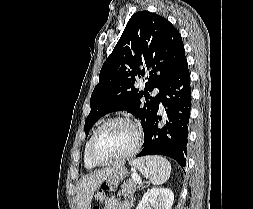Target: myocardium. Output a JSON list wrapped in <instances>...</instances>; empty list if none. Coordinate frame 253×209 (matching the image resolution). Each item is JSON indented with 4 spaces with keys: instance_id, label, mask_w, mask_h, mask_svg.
Instances as JSON below:
<instances>
[{
    "instance_id": "myocardium-1",
    "label": "myocardium",
    "mask_w": 253,
    "mask_h": 209,
    "mask_svg": "<svg viewBox=\"0 0 253 209\" xmlns=\"http://www.w3.org/2000/svg\"><path fill=\"white\" fill-rule=\"evenodd\" d=\"M125 122L127 124H129L133 131H134V135H135V139H134V144L133 146L130 148V150H128L125 154H123L122 156L112 159V160H107V161H102L99 160L94 152L95 149V144H96V140L100 134V132L109 124L113 123V122ZM141 141H142V132L140 129L139 124L136 122L135 119H133L132 117L128 116V115H115L110 117L109 119H107L106 121H104L94 132L91 140H90V145H89V157L91 162L95 165V166H105V165H113V164H118L121 162H124L125 160L129 159L130 157H132L140 148L141 145Z\"/></svg>"
}]
</instances>
